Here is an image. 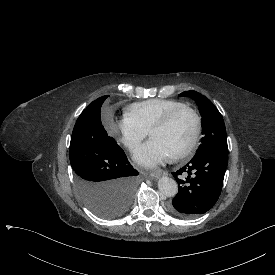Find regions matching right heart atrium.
Instances as JSON below:
<instances>
[{
	"label": "right heart atrium",
	"mask_w": 275,
	"mask_h": 275,
	"mask_svg": "<svg viewBox=\"0 0 275 275\" xmlns=\"http://www.w3.org/2000/svg\"><path fill=\"white\" fill-rule=\"evenodd\" d=\"M113 133L130 153H135L148 135L145 128L127 115L114 122Z\"/></svg>",
	"instance_id": "right-heart-atrium-1"
}]
</instances>
